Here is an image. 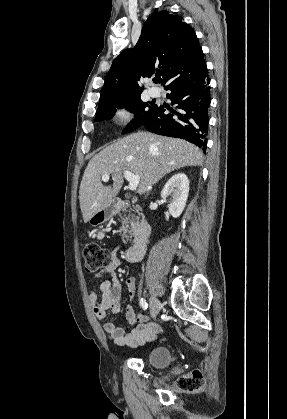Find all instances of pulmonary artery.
I'll return each mask as SVG.
<instances>
[{
	"instance_id": "1",
	"label": "pulmonary artery",
	"mask_w": 287,
	"mask_h": 419,
	"mask_svg": "<svg viewBox=\"0 0 287 419\" xmlns=\"http://www.w3.org/2000/svg\"><path fill=\"white\" fill-rule=\"evenodd\" d=\"M149 95L151 97H156L159 95V91L156 88H150L149 89Z\"/></svg>"
}]
</instances>
